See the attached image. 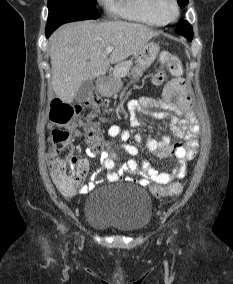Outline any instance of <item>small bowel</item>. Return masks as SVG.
Masks as SVG:
<instances>
[{"instance_id":"1","label":"small bowel","mask_w":233,"mask_h":284,"mask_svg":"<svg viewBox=\"0 0 233 284\" xmlns=\"http://www.w3.org/2000/svg\"><path fill=\"white\" fill-rule=\"evenodd\" d=\"M128 113L130 123L133 126L140 124L137 116L139 114L156 119H168L171 122V129L175 137L183 139L182 143H171L170 137L165 135L161 139L149 138L147 140L148 148L158 157L165 158L174 155L177 163L170 173L159 172L152 165L142 160L139 164L135 159H129L126 162L119 163L117 155L111 151L109 141L104 142L105 150L101 152L100 159L103 167L107 170V179L110 182H118L125 173H131L140 177L138 183L142 186L166 185L173 179H181L185 176L186 164L193 160L199 148L200 127L193 110V102L190 96L187 83L181 78L168 80L164 84L163 96L160 99L142 98L133 100L128 104ZM79 136V131L73 132ZM107 134L112 138H119L122 141L121 148L129 155L135 157L138 154L136 146L127 143L131 138L128 130L122 129L119 125H111ZM134 139L137 143L142 142V136L136 134ZM89 157H93L95 152L92 148L86 151ZM71 163L78 162L88 170L89 162L87 159L71 158ZM50 175L53 180V173L49 163ZM130 178H126L129 180ZM54 182V181H53ZM98 180L92 179L85 184L80 193L85 194L94 189Z\"/></svg>"}]
</instances>
